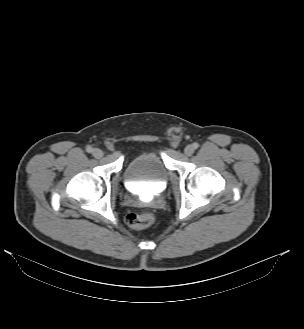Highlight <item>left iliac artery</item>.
Wrapping results in <instances>:
<instances>
[{
  "instance_id": "obj_1",
  "label": "left iliac artery",
  "mask_w": 304,
  "mask_h": 329,
  "mask_svg": "<svg viewBox=\"0 0 304 329\" xmlns=\"http://www.w3.org/2000/svg\"><path fill=\"white\" fill-rule=\"evenodd\" d=\"M199 147V144L198 143H193V148L194 149H197Z\"/></svg>"
}]
</instances>
